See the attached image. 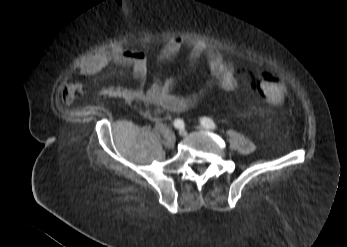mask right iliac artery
I'll use <instances>...</instances> for the list:
<instances>
[{"mask_svg": "<svg viewBox=\"0 0 347 247\" xmlns=\"http://www.w3.org/2000/svg\"><path fill=\"white\" fill-rule=\"evenodd\" d=\"M174 126H175L176 128H183V127H184V122H183V120H181V119H176V120L174 121Z\"/></svg>", "mask_w": 347, "mask_h": 247, "instance_id": "82829eb1", "label": "right iliac artery"}]
</instances>
